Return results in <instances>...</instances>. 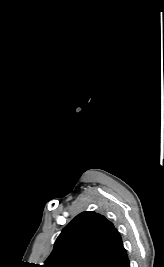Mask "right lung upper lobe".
Returning a JSON list of instances; mask_svg holds the SVG:
<instances>
[{
  "mask_svg": "<svg viewBox=\"0 0 164 267\" xmlns=\"http://www.w3.org/2000/svg\"><path fill=\"white\" fill-rule=\"evenodd\" d=\"M122 248V238L109 220L82 212L62 230L43 267H99Z\"/></svg>",
  "mask_w": 164,
  "mask_h": 267,
  "instance_id": "cb5924a9",
  "label": "right lung upper lobe"
}]
</instances>
